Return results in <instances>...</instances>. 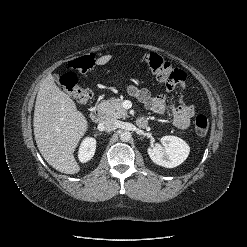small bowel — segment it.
Instances as JSON below:
<instances>
[{"mask_svg": "<svg viewBox=\"0 0 247 247\" xmlns=\"http://www.w3.org/2000/svg\"><path fill=\"white\" fill-rule=\"evenodd\" d=\"M178 86L180 89L185 88L184 80L176 85L168 86V90L172 91ZM127 92L137 98L144 107L154 113L162 114L171 111L173 114L174 125L181 130H186L191 125V118L195 113V106L185 102L182 95L179 98V104L171 103L166 95H152L146 88H137L133 85L127 87Z\"/></svg>", "mask_w": 247, "mask_h": 247, "instance_id": "c3829d8e", "label": "small bowel"}]
</instances>
